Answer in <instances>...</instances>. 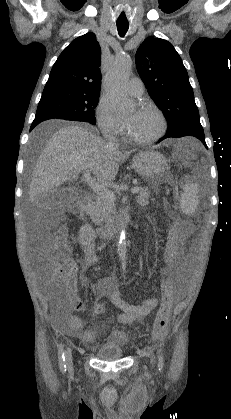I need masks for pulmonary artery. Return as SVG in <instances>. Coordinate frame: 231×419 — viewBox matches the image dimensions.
<instances>
[{
	"label": "pulmonary artery",
	"instance_id": "1",
	"mask_svg": "<svg viewBox=\"0 0 231 419\" xmlns=\"http://www.w3.org/2000/svg\"><path fill=\"white\" fill-rule=\"evenodd\" d=\"M127 89L132 96L139 97L144 92V85L141 79L134 77L128 82Z\"/></svg>",
	"mask_w": 231,
	"mask_h": 419
}]
</instances>
